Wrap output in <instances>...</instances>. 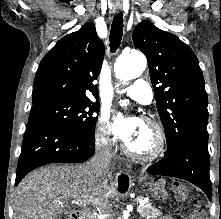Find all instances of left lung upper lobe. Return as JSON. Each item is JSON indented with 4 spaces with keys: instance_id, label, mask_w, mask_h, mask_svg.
<instances>
[{
    "instance_id": "obj_1",
    "label": "left lung upper lobe",
    "mask_w": 221,
    "mask_h": 219,
    "mask_svg": "<svg viewBox=\"0 0 221 219\" xmlns=\"http://www.w3.org/2000/svg\"><path fill=\"white\" fill-rule=\"evenodd\" d=\"M133 42L148 60L167 150H174L190 137L208 139L207 93L193 51L148 20L136 26Z\"/></svg>"
}]
</instances>
